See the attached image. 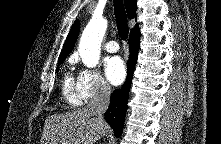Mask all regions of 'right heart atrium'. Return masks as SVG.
<instances>
[{"label": "right heart atrium", "instance_id": "1", "mask_svg": "<svg viewBox=\"0 0 221 144\" xmlns=\"http://www.w3.org/2000/svg\"><path fill=\"white\" fill-rule=\"evenodd\" d=\"M80 98L89 102L107 97L111 88L102 75L95 69L82 68L77 78Z\"/></svg>", "mask_w": 221, "mask_h": 144}]
</instances>
